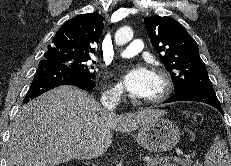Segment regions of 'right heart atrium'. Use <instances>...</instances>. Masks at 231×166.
Here are the masks:
<instances>
[{
	"instance_id": "d8ad5b80",
	"label": "right heart atrium",
	"mask_w": 231,
	"mask_h": 166,
	"mask_svg": "<svg viewBox=\"0 0 231 166\" xmlns=\"http://www.w3.org/2000/svg\"><path fill=\"white\" fill-rule=\"evenodd\" d=\"M121 94L122 91L118 85L110 86L105 92V95L110 99H119Z\"/></svg>"
}]
</instances>
